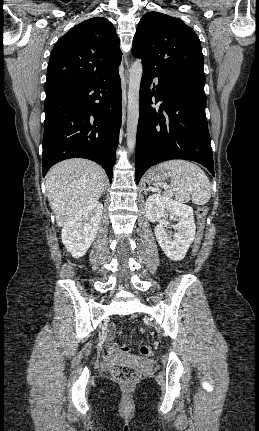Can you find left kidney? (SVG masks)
Listing matches in <instances>:
<instances>
[{"mask_svg":"<svg viewBox=\"0 0 259 431\" xmlns=\"http://www.w3.org/2000/svg\"><path fill=\"white\" fill-rule=\"evenodd\" d=\"M145 210L150 222H159L154 232L164 253L171 260H182L195 238L193 208L169 196L152 194L146 200ZM168 213L178 221L174 235L167 232L169 223L164 218L168 217Z\"/></svg>","mask_w":259,"mask_h":431,"instance_id":"obj_1","label":"left kidney"}]
</instances>
